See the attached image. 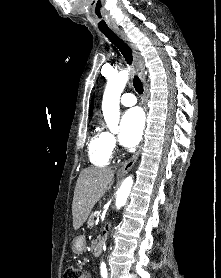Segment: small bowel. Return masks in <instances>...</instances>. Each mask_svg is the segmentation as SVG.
Here are the masks:
<instances>
[{"label": "small bowel", "mask_w": 221, "mask_h": 278, "mask_svg": "<svg viewBox=\"0 0 221 278\" xmlns=\"http://www.w3.org/2000/svg\"><path fill=\"white\" fill-rule=\"evenodd\" d=\"M84 278H92V276L88 270L84 271Z\"/></svg>", "instance_id": "obj_1"}]
</instances>
